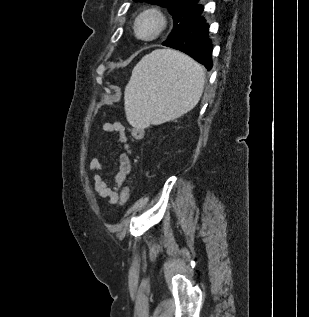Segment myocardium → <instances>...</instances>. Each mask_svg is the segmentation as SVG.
Instances as JSON below:
<instances>
[{
    "label": "myocardium",
    "instance_id": "obj_1",
    "mask_svg": "<svg viewBox=\"0 0 309 317\" xmlns=\"http://www.w3.org/2000/svg\"><path fill=\"white\" fill-rule=\"evenodd\" d=\"M151 21L153 23V28L148 34H143L141 32V26L144 22ZM166 27V18L163 13L156 9H147L140 13L135 20L134 30L136 35L145 41H151L156 39Z\"/></svg>",
    "mask_w": 309,
    "mask_h": 317
}]
</instances>
